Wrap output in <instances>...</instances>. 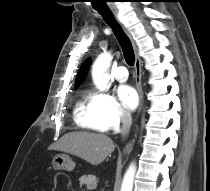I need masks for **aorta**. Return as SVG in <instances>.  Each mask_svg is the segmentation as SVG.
Listing matches in <instances>:
<instances>
[{
  "label": "aorta",
  "mask_w": 210,
  "mask_h": 191,
  "mask_svg": "<svg viewBox=\"0 0 210 191\" xmlns=\"http://www.w3.org/2000/svg\"><path fill=\"white\" fill-rule=\"evenodd\" d=\"M111 59L110 53H103L96 59L92 67L93 82L101 91L106 90L108 87V69ZM135 173L136 166L131 164L124 175L120 191H132Z\"/></svg>",
  "instance_id": "762f6f07"
}]
</instances>
